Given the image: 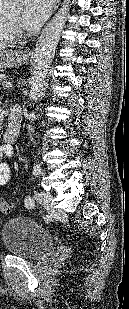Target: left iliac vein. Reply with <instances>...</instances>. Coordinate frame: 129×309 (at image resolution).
Wrapping results in <instances>:
<instances>
[{
	"instance_id": "1",
	"label": "left iliac vein",
	"mask_w": 129,
	"mask_h": 309,
	"mask_svg": "<svg viewBox=\"0 0 129 309\" xmlns=\"http://www.w3.org/2000/svg\"><path fill=\"white\" fill-rule=\"evenodd\" d=\"M37 200L46 209L51 218H55L58 215V211L51 204L52 196L46 192H39L37 194Z\"/></svg>"
}]
</instances>
